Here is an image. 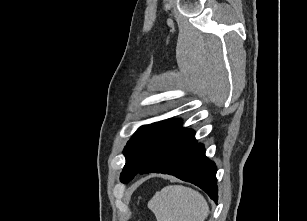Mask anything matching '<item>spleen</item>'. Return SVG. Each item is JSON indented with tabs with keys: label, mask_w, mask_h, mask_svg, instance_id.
Segmentation results:
<instances>
[{
	"label": "spleen",
	"mask_w": 307,
	"mask_h": 221,
	"mask_svg": "<svg viewBox=\"0 0 307 221\" xmlns=\"http://www.w3.org/2000/svg\"><path fill=\"white\" fill-rule=\"evenodd\" d=\"M148 208L157 221H204L209 213L205 198L192 188L170 185L156 192Z\"/></svg>",
	"instance_id": "1"
}]
</instances>
